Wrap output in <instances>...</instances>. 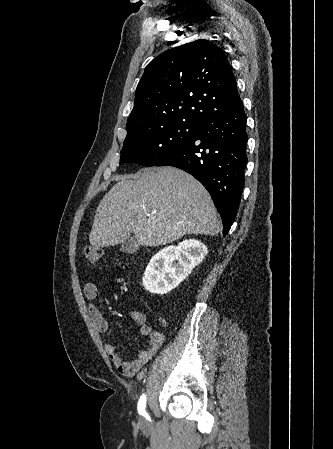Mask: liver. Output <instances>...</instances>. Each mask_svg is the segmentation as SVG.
I'll list each match as a JSON object with an SVG mask.
<instances>
[{"mask_svg": "<svg viewBox=\"0 0 333 449\" xmlns=\"http://www.w3.org/2000/svg\"><path fill=\"white\" fill-rule=\"evenodd\" d=\"M117 180L96 209L89 234L93 248L120 244L132 232L142 246L219 233L214 203L192 175L175 167L145 168Z\"/></svg>", "mask_w": 333, "mask_h": 449, "instance_id": "6515ba94", "label": "liver"}]
</instances>
